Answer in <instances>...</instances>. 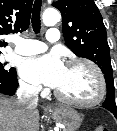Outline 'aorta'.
I'll return each mask as SVG.
<instances>
[{"instance_id": "762f6f07", "label": "aorta", "mask_w": 117, "mask_h": 131, "mask_svg": "<svg viewBox=\"0 0 117 131\" xmlns=\"http://www.w3.org/2000/svg\"><path fill=\"white\" fill-rule=\"evenodd\" d=\"M61 19V15L58 10L50 8L43 13V23L46 26H54Z\"/></svg>"}]
</instances>
